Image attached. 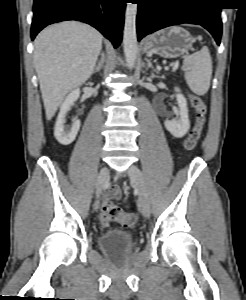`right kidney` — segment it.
I'll list each match as a JSON object with an SVG mask.
<instances>
[{
  "instance_id": "ca27d5eb",
  "label": "right kidney",
  "mask_w": 246,
  "mask_h": 300,
  "mask_svg": "<svg viewBox=\"0 0 246 300\" xmlns=\"http://www.w3.org/2000/svg\"><path fill=\"white\" fill-rule=\"evenodd\" d=\"M79 96H80V90L75 89L66 97V99L64 100V102L60 107V112L56 120V124L54 128V136L60 144L65 146L71 144L75 140L76 135L80 128V120H76L72 124V128L70 131L66 132L64 130V123L66 122L65 120L66 112L69 106L74 101H76L79 98Z\"/></svg>"
}]
</instances>
